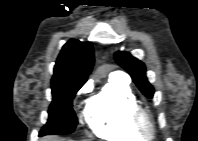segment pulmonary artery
Segmentation results:
<instances>
[{"mask_svg": "<svg viewBox=\"0 0 198 141\" xmlns=\"http://www.w3.org/2000/svg\"><path fill=\"white\" fill-rule=\"evenodd\" d=\"M110 78L127 81L128 76L123 72L118 71L111 73Z\"/></svg>", "mask_w": 198, "mask_h": 141, "instance_id": "obj_1", "label": "pulmonary artery"}]
</instances>
